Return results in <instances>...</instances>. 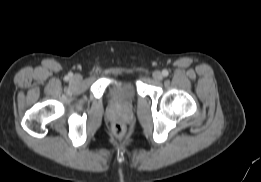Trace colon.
<instances>
[{"mask_svg": "<svg viewBox=\"0 0 261 182\" xmlns=\"http://www.w3.org/2000/svg\"><path fill=\"white\" fill-rule=\"evenodd\" d=\"M116 136L123 137L126 133V128L122 123H116L113 127Z\"/></svg>", "mask_w": 261, "mask_h": 182, "instance_id": "obj_1", "label": "colon"}]
</instances>
